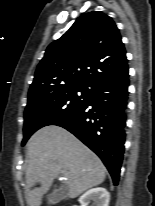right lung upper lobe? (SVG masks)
<instances>
[{
	"label": "right lung upper lobe",
	"mask_w": 155,
	"mask_h": 206,
	"mask_svg": "<svg viewBox=\"0 0 155 206\" xmlns=\"http://www.w3.org/2000/svg\"><path fill=\"white\" fill-rule=\"evenodd\" d=\"M127 68L125 47L114 21L101 12H89L48 46L28 96L67 85L96 89Z\"/></svg>",
	"instance_id": "1"
}]
</instances>
